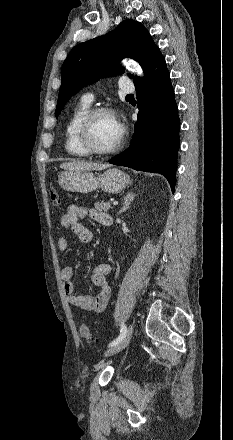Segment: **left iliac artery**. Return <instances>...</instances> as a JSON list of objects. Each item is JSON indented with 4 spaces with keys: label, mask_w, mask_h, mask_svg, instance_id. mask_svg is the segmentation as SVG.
Listing matches in <instances>:
<instances>
[{
    "label": "left iliac artery",
    "mask_w": 233,
    "mask_h": 440,
    "mask_svg": "<svg viewBox=\"0 0 233 440\" xmlns=\"http://www.w3.org/2000/svg\"><path fill=\"white\" fill-rule=\"evenodd\" d=\"M126 331H127V328H126V326L122 323V324H121L120 335H119L114 341H112V342L109 344V346L112 347V346L118 344V343L124 338V336H125V334H126Z\"/></svg>",
    "instance_id": "44dca946"
}]
</instances>
